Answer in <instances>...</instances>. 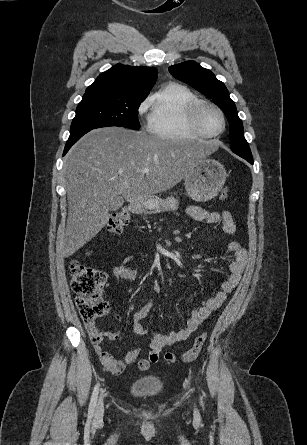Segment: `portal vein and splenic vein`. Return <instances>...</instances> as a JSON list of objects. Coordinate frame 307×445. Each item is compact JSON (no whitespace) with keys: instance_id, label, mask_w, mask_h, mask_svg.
Listing matches in <instances>:
<instances>
[{"instance_id":"portal-vein-and-splenic-vein-1","label":"portal vein and splenic vein","mask_w":307,"mask_h":445,"mask_svg":"<svg viewBox=\"0 0 307 445\" xmlns=\"http://www.w3.org/2000/svg\"><path fill=\"white\" fill-rule=\"evenodd\" d=\"M141 172H150V168H148V166H145V168H142Z\"/></svg>"}]
</instances>
